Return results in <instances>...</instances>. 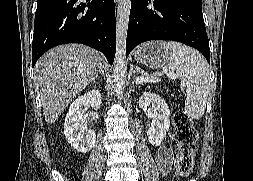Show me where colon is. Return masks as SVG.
I'll list each match as a JSON object with an SVG mask.
<instances>
[{
	"label": "colon",
	"mask_w": 253,
	"mask_h": 181,
	"mask_svg": "<svg viewBox=\"0 0 253 181\" xmlns=\"http://www.w3.org/2000/svg\"><path fill=\"white\" fill-rule=\"evenodd\" d=\"M173 122L174 139L179 150L176 171L179 176L185 177L193 167L198 134L191 119L182 110L174 114Z\"/></svg>",
	"instance_id": "colon-1"
}]
</instances>
